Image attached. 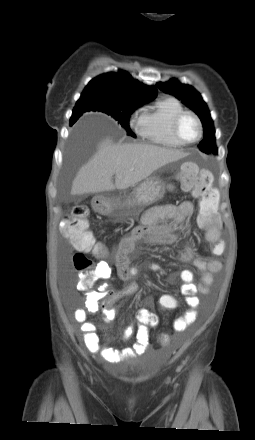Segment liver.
I'll use <instances>...</instances> for the list:
<instances>
[{
	"label": "liver",
	"mask_w": 255,
	"mask_h": 440,
	"mask_svg": "<svg viewBox=\"0 0 255 440\" xmlns=\"http://www.w3.org/2000/svg\"><path fill=\"white\" fill-rule=\"evenodd\" d=\"M186 154L146 144L117 145L104 139L93 157L80 168L72 183L71 194L124 190L146 179L162 166ZM115 175V184L112 177Z\"/></svg>",
	"instance_id": "1"
}]
</instances>
